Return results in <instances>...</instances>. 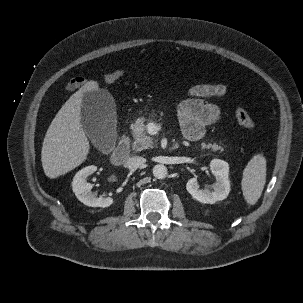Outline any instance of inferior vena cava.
I'll use <instances>...</instances> for the list:
<instances>
[{"label": "inferior vena cava", "mask_w": 303, "mask_h": 303, "mask_svg": "<svg viewBox=\"0 0 303 303\" xmlns=\"http://www.w3.org/2000/svg\"><path fill=\"white\" fill-rule=\"evenodd\" d=\"M145 162H146L145 158L134 156L127 160L126 167L130 170H136L139 167L143 166Z\"/></svg>", "instance_id": "obj_1"}]
</instances>
